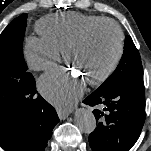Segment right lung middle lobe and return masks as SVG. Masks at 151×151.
<instances>
[{"instance_id": "dd1d6c3e", "label": "right lung middle lobe", "mask_w": 151, "mask_h": 151, "mask_svg": "<svg viewBox=\"0 0 151 151\" xmlns=\"http://www.w3.org/2000/svg\"><path fill=\"white\" fill-rule=\"evenodd\" d=\"M27 14L15 18L0 35V75L18 80L27 72L22 51ZM17 93L6 92L0 106H14Z\"/></svg>"}]
</instances>
